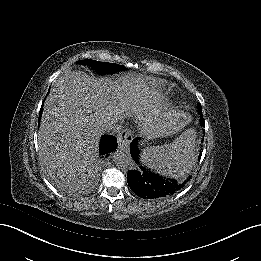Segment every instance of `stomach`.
<instances>
[{
	"mask_svg": "<svg viewBox=\"0 0 261 261\" xmlns=\"http://www.w3.org/2000/svg\"><path fill=\"white\" fill-rule=\"evenodd\" d=\"M153 116H154V115H153ZM150 118H151V115H150V113H149L148 116H146V122L148 123L147 127H151V126H149V123H150V122H148ZM147 120H148V121H147Z\"/></svg>",
	"mask_w": 261,
	"mask_h": 261,
	"instance_id": "stomach-1",
	"label": "stomach"
}]
</instances>
